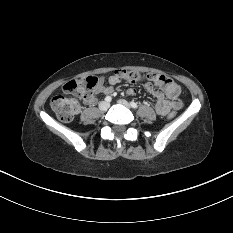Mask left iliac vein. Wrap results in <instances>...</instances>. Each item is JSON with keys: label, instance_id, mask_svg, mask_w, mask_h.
Listing matches in <instances>:
<instances>
[{"label": "left iliac vein", "instance_id": "4c4485c4", "mask_svg": "<svg viewBox=\"0 0 233 233\" xmlns=\"http://www.w3.org/2000/svg\"><path fill=\"white\" fill-rule=\"evenodd\" d=\"M118 103L125 106V107H127V108H131V105L124 99L118 100Z\"/></svg>", "mask_w": 233, "mask_h": 233}]
</instances>
